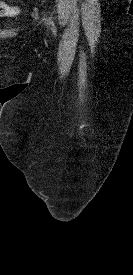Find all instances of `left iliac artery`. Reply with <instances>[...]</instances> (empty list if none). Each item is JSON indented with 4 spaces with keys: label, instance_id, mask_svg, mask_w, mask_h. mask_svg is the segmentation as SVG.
<instances>
[{
    "label": "left iliac artery",
    "instance_id": "obj_1",
    "mask_svg": "<svg viewBox=\"0 0 133 275\" xmlns=\"http://www.w3.org/2000/svg\"><path fill=\"white\" fill-rule=\"evenodd\" d=\"M46 20H47V22H48L49 24H51L52 27L54 28V23H53L52 19H51L50 17H46Z\"/></svg>",
    "mask_w": 133,
    "mask_h": 275
}]
</instances>
